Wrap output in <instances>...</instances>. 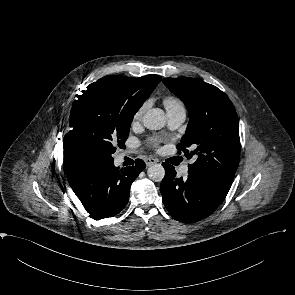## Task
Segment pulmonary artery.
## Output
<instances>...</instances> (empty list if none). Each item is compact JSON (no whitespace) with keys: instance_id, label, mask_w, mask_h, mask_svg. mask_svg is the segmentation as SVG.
Wrapping results in <instances>:
<instances>
[{"instance_id":"1","label":"pulmonary artery","mask_w":295,"mask_h":295,"mask_svg":"<svg viewBox=\"0 0 295 295\" xmlns=\"http://www.w3.org/2000/svg\"><path fill=\"white\" fill-rule=\"evenodd\" d=\"M185 110H178L168 113V124L171 129L178 128L185 120ZM180 174L186 176L188 174V166L184 165L180 168Z\"/></svg>"}]
</instances>
